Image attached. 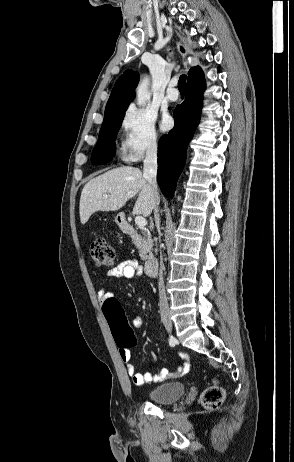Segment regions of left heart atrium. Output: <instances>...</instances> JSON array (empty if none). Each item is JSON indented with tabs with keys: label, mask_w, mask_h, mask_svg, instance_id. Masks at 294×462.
Instances as JSON below:
<instances>
[{
	"label": "left heart atrium",
	"mask_w": 294,
	"mask_h": 462,
	"mask_svg": "<svg viewBox=\"0 0 294 462\" xmlns=\"http://www.w3.org/2000/svg\"><path fill=\"white\" fill-rule=\"evenodd\" d=\"M171 124H172L171 118L168 115L163 116L161 120V124H160L161 129L163 131H166L171 127Z\"/></svg>",
	"instance_id": "39dd6f15"
}]
</instances>
